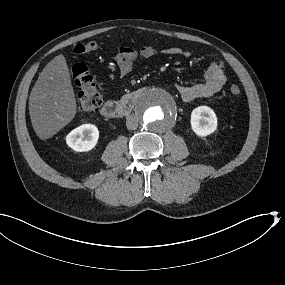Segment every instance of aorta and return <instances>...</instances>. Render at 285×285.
Returning <instances> with one entry per match:
<instances>
[{"mask_svg":"<svg viewBox=\"0 0 285 285\" xmlns=\"http://www.w3.org/2000/svg\"><path fill=\"white\" fill-rule=\"evenodd\" d=\"M135 115L139 125L144 130L161 134L171 130L176 125L180 108L176 98L171 93L154 89L144 93L139 98Z\"/></svg>","mask_w":285,"mask_h":285,"instance_id":"1","label":"aorta"}]
</instances>
